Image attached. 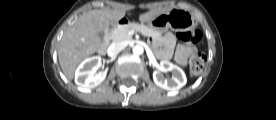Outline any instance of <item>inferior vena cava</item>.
<instances>
[{"label":"inferior vena cava","mask_w":276,"mask_h":120,"mask_svg":"<svg viewBox=\"0 0 276 120\" xmlns=\"http://www.w3.org/2000/svg\"><path fill=\"white\" fill-rule=\"evenodd\" d=\"M124 48H125V44L123 42L112 43L109 46L107 53L110 57H113L118 53H120Z\"/></svg>","instance_id":"obj_1"}]
</instances>
